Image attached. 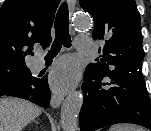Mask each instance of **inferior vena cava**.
<instances>
[{
    "instance_id": "602c4592",
    "label": "inferior vena cava",
    "mask_w": 151,
    "mask_h": 131,
    "mask_svg": "<svg viewBox=\"0 0 151 131\" xmlns=\"http://www.w3.org/2000/svg\"><path fill=\"white\" fill-rule=\"evenodd\" d=\"M56 97H53V102L55 101Z\"/></svg>"
}]
</instances>
